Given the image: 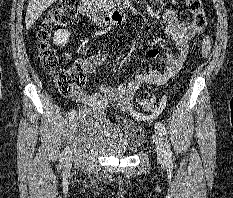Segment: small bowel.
Returning a JSON list of instances; mask_svg holds the SVG:
<instances>
[{
	"mask_svg": "<svg viewBox=\"0 0 233 198\" xmlns=\"http://www.w3.org/2000/svg\"><path fill=\"white\" fill-rule=\"evenodd\" d=\"M165 23V35L175 44L177 53L164 55L165 66L158 70L139 71L134 74L132 80L119 83L115 88L107 84L100 86V93H87L82 87H77L70 97L77 103L95 108L104 112L110 105H116L126 111H130L133 98L143 85H163L176 75L185 62L189 52V42L198 32L193 23L181 21L172 9H166L162 14ZM147 19L140 18L139 28L144 29ZM160 55L158 49L150 47L146 51L149 59H156ZM108 60L102 55H91L81 63L85 74H93L95 70L107 64ZM134 116H139L134 114Z\"/></svg>",
	"mask_w": 233,
	"mask_h": 198,
	"instance_id": "1",
	"label": "small bowel"
}]
</instances>
